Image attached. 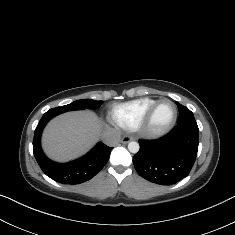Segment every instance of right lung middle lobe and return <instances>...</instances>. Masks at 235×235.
<instances>
[{
	"mask_svg": "<svg viewBox=\"0 0 235 235\" xmlns=\"http://www.w3.org/2000/svg\"><path fill=\"white\" fill-rule=\"evenodd\" d=\"M103 103V101H95L91 99H83V100H78L74 101L71 104L65 105V106H60L57 108H53L52 111L55 112L56 114H60L66 111H71V110H79V109H97L100 107V105Z\"/></svg>",
	"mask_w": 235,
	"mask_h": 235,
	"instance_id": "right-lung-middle-lobe-1",
	"label": "right lung middle lobe"
}]
</instances>
